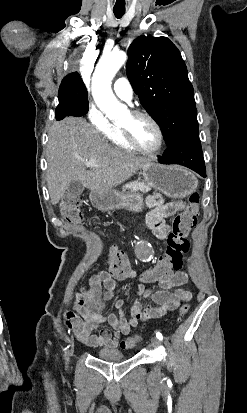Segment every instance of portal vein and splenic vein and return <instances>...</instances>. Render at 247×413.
<instances>
[{
  "label": "portal vein and splenic vein",
  "instance_id": "obj_1",
  "mask_svg": "<svg viewBox=\"0 0 247 413\" xmlns=\"http://www.w3.org/2000/svg\"><path fill=\"white\" fill-rule=\"evenodd\" d=\"M84 164L86 166H97V160L96 158H90V160H84Z\"/></svg>",
  "mask_w": 247,
  "mask_h": 413
}]
</instances>
